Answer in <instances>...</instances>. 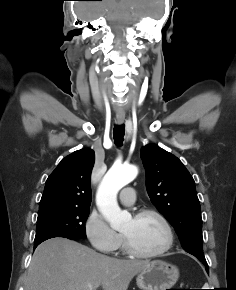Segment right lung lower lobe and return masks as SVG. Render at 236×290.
<instances>
[{
	"instance_id": "1",
	"label": "right lung lower lobe",
	"mask_w": 236,
	"mask_h": 290,
	"mask_svg": "<svg viewBox=\"0 0 236 290\" xmlns=\"http://www.w3.org/2000/svg\"><path fill=\"white\" fill-rule=\"evenodd\" d=\"M40 243H34V249L39 245Z\"/></svg>"
}]
</instances>
